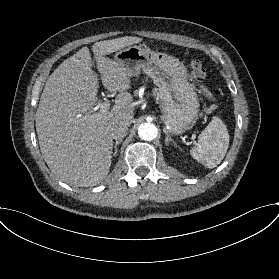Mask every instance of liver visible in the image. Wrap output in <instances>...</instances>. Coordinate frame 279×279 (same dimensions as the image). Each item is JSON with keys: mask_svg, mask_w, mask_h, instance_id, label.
I'll use <instances>...</instances> for the list:
<instances>
[{"mask_svg": "<svg viewBox=\"0 0 279 279\" xmlns=\"http://www.w3.org/2000/svg\"><path fill=\"white\" fill-rule=\"evenodd\" d=\"M125 36L93 44L103 86L118 91L115 105L105 112L96 108L99 78L92 69L88 47L64 60L47 79L36 111V132L42 156L63 182L78 187L95 186L109 173L113 151L112 126L134 120L130 75L105 55L140 43Z\"/></svg>", "mask_w": 279, "mask_h": 279, "instance_id": "1", "label": "liver"}]
</instances>
